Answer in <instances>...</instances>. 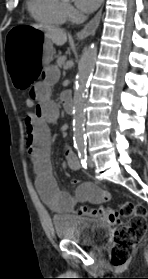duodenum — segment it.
<instances>
[{
    "mask_svg": "<svg viewBox=\"0 0 148 279\" xmlns=\"http://www.w3.org/2000/svg\"><path fill=\"white\" fill-rule=\"evenodd\" d=\"M62 104L67 113L72 114L74 110L73 101L69 94H64L62 97Z\"/></svg>",
    "mask_w": 148,
    "mask_h": 279,
    "instance_id": "obj_1",
    "label": "duodenum"
}]
</instances>
